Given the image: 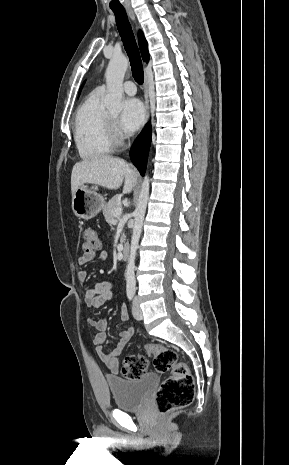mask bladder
I'll return each instance as SVG.
<instances>
[{
    "label": "bladder",
    "mask_w": 289,
    "mask_h": 465,
    "mask_svg": "<svg viewBox=\"0 0 289 465\" xmlns=\"http://www.w3.org/2000/svg\"><path fill=\"white\" fill-rule=\"evenodd\" d=\"M157 381V375L152 373L139 379L113 377L107 380L114 404L121 410L140 409Z\"/></svg>",
    "instance_id": "obj_1"
}]
</instances>
